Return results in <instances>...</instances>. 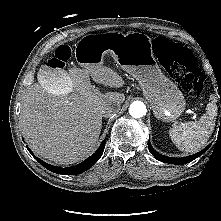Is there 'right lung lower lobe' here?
<instances>
[{
	"mask_svg": "<svg viewBox=\"0 0 221 221\" xmlns=\"http://www.w3.org/2000/svg\"><path fill=\"white\" fill-rule=\"evenodd\" d=\"M106 144V138L103 140L101 143L100 147L97 149V151L84 160L83 162L79 163L78 165L72 166V167H58V166H53L48 163H45L44 161L40 160L39 158L35 157L33 152L27 147L28 151L31 153V155L46 169L56 173V174H62V175H76L83 173L84 171L88 170L90 167H92L96 161L102 156L104 148Z\"/></svg>",
	"mask_w": 221,
	"mask_h": 221,
	"instance_id": "1",
	"label": "right lung lower lobe"
}]
</instances>
